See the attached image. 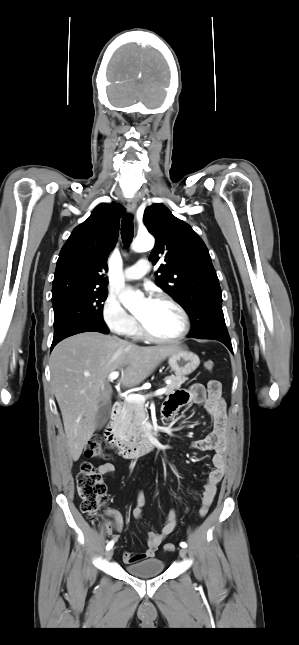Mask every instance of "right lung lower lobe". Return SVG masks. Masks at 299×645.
<instances>
[{
  "label": "right lung lower lobe",
  "instance_id": "98d812e1",
  "mask_svg": "<svg viewBox=\"0 0 299 645\" xmlns=\"http://www.w3.org/2000/svg\"><path fill=\"white\" fill-rule=\"evenodd\" d=\"M91 331L101 332V333H105V334L108 333V329L106 327H100V326H95V325H90V324L81 325V326H78L76 328H73V329L65 332L63 335H61L58 338H54L53 342H52L51 349H53V347L58 342H60L62 339L66 338V337H69V336H72V335H75V334H78V333L91 332Z\"/></svg>",
  "mask_w": 299,
  "mask_h": 645
}]
</instances>
